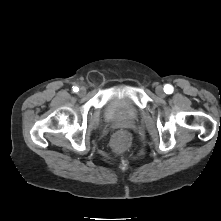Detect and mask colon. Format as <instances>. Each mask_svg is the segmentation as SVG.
<instances>
[{"mask_svg": "<svg viewBox=\"0 0 221 221\" xmlns=\"http://www.w3.org/2000/svg\"><path fill=\"white\" fill-rule=\"evenodd\" d=\"M130 143V135L125 130L117 131L112 137V147L116 152L124 151Z\"/></svg>", "mask_w": 221, "mask_h": 221, "instance_id": "1", "label": "colon"}]
</instances>
